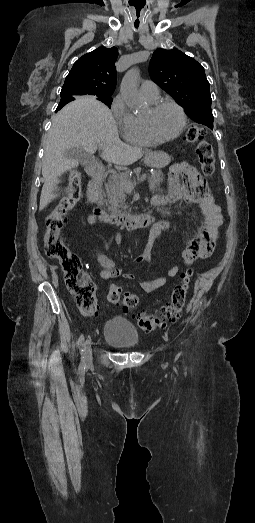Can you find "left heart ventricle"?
Returning <instances> with one entry per match:
<instances>
[{
  "label": "left heart ventricle",
  "instance_id": "obj_1",
  "mask_svg": "<svg viewBox=\"0 0 255 523\" xmlns=\"http://www.w3.org/2000/svg\"><path fill=\"white\" fill-rule=\"evenodd\" d=\"M150 111L145 114L149 116ZM151 126L154 133L161 138L174 135L181 124L178 111L172 106H164L150 115Z\"/></svg>",
  "mask_w": 255,
  "mask_h": 523
}]
</instances>
